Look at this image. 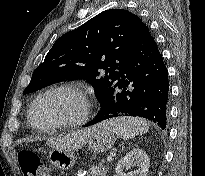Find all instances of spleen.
Instances as JSON below:
<instances>
[{"mask_svg":"<svg viewBox=\"0 0 205 176\" xmlns=\"http://www.w3.org/2000/svg\"><path fill=\"white\" fill-rule=\"evenodd\" d=\"M101 125L112 130L124 140L145 134L149 130L145 120L134 117L113 118L102 122Z\"/></svg>","mask_w":205,"mask_h":176,"instance_id":"1","label":"spleen"}]
</instances>
